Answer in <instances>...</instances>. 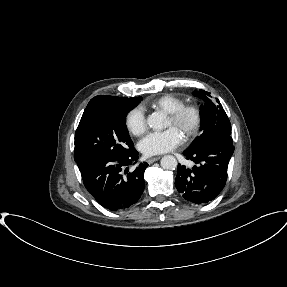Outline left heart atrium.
<instances>
[{
	"label": "left heart atrium",
	"mask_w": 287,
	"mask_h": 287,
	"mask_svg": "<svg viewBox=\"0 0 287 287\" xmlns=\"http://www.w3.org/2000/svg\"><path fill=\"white\" fill-rule=\"evenodd\" d=\"M183 142V135L175 127H170L161 132H152L139 143L140 151L146 156L167 153Z\"/></svg>",
	"instance_id": "left-heart-atrium-1"
}]
</instances>
